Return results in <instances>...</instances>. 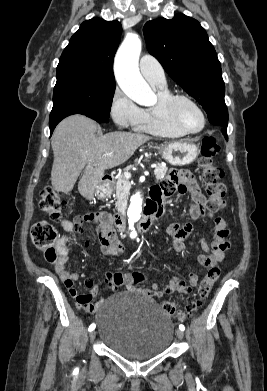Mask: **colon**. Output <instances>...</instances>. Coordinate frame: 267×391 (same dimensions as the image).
Wrapping results in <instances>:
<instances>
[{"instance_id":"1","label":"colon","mask_w":267,"mask_h":391,"mask_svg":"<svg viewBox=\"0 0 267 391\" xmlns=\"http://www.w3.org/2000/svg\"><path fill=\"white\" fill-rule=\"evenodd\" d=\"M219 153V146L214 138L206 137L201 144V156L199 166L202 171V180L208 194L207 210L211 215L220 212L225 206L226 187L222 183L224 176L223 170L214 162L215 157ZM70 204L66 198L59 194L54 188L46 187L41 194L40 209L55 221H61L65 218ZM31 237L34 245L44 251L45 258L48 262L54 263L57 260L55 242L57 241V231L47 221H40L33 225ZM221 269L214 266L209 269L206 276L201 281L197 295L187 307V315L195 314L205 299L211 292L215 282L219 278ZM145 276L142 273L134 272L129 274L128 281L139 289H144L142 286L145 282ZM117 283L122 281L119 273L115 274ZM163 310L171 317H177L183 320L186 316L181 312L175 303L165 301L162 304Z\"/></svg>"}]
</instances>
